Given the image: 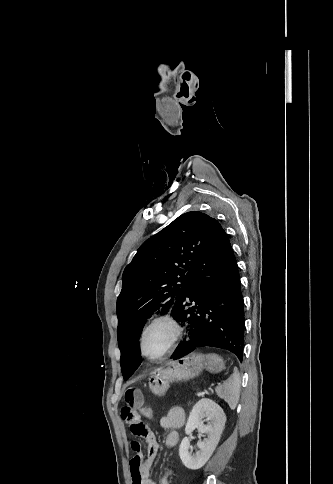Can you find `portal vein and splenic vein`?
I'll return each instance as SVG.
<instances>
[{
    "mask_svg": "<svg viewBox=\"0 0 333 484\" xmlns=\"http://www.w3.org/2000/svg\"><path fill=\"white\" fill-rule=\"evenodd\" d=\"M203 395V392H198L197 393V396H202Z\"/></svg>",
    "mask_w": 333,
    "mask_h": 484,
    "instance_id": "obj_1",
    "label": "portal vein and splenic vein"
}]
</instances>
